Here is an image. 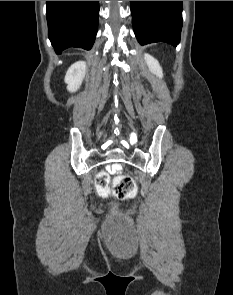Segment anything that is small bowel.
Returning a JSON list of instances; mask_svg holds the SVG:
<instances>
[{
  "label": "small bowel",
  "mask_w": 233,
  "mask_h": 295,
  "mask_svg": "<svg viewBox=\"0 0 233 295\" xmlns=\"http://www.w3.org/2000/svg\"><path fill=\"white\" fill-rule=\"evenodd\" d=\"M109 170L112 173H117L120 170V165L119 164H113L112 166L109 167Z\"/></svg>",
  "instance_id": "1"
}]
</instances>
